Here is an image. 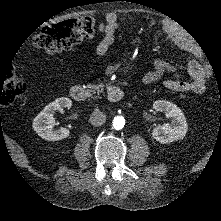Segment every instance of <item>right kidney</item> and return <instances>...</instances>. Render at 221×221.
Wrapping results in <instances>:
<instances>
[{
	"label": "right kidney",
	"instance_id": "obj_1",
	"mask_svg": "<svg viewBox=\"0 0 221 221\" xmlns=\"http://www.w3.org/2000/svg\"><path fill=\"white\" fill-rule=\"evenodd\" d=\"M63 108L71 109L72 100L68 97H59L46 105L33 119V129L46 140H62L70 131L65 127L55 129L54 113Z\"/></svg>",
	"mask_w": 221,
	"mask_h": 221
}]
</instances>
